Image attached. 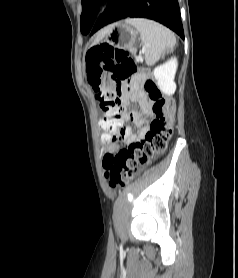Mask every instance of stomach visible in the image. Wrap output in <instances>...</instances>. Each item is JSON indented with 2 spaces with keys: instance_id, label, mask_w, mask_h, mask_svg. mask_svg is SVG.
Masks as SVG:
<instances>
[{
  "instance_id": "0dacf381",
  "label": "stomach",
  "mask_w": 238,
  "mask_h": 278,
  "mask_svg": "<svg viewBox=\"0 0 238 278\" xmlns=\"http://www.w3.org/2000/svg\"><path fill=\"white\" fill-rule=\"evenodd\" d=\"M104 42L121 49H134L138 31L129 23L117 22L105 28Z\"/></svg>"
}]
</instances>
